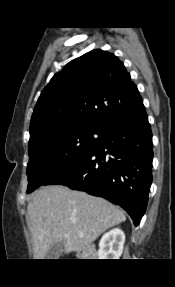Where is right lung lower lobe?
I'll list each match as a JSON object with an SVG mask.
<instances>
[{"label":"right lung lower lobe","instance_id":"1","mask_svg":"<svg viewBox=\"0 0 175 287\" xmlns=\"http://www.w3.org/2000/svg\"><path fill=\"white\" fill-rule=\"evenodd\" d=\"M152 160V133L142 103L103 125L95 148L45 185H66L103 197L122 207L137 226L148 202Z\"/></svg>","mask_w":175,"mask_h":287}]
</instances>
